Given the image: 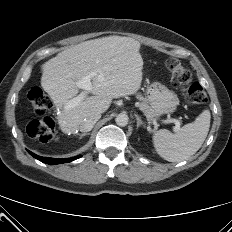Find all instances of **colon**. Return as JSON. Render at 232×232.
Instances as JSON below:
<instances>
[{
  "instance_id": "colon-1",
  "label": "colon",
  "mask_w": 232,
  "mask_h": 232,
  "mask_svg": "<svg viewBox=\"0 0 232 232\" xmlns=\"http://www.w3.org/2000/svg\"><path fill=\"white\" fill-rule=\"evenodd\" d=\"M166 67L172 84L185 91L189 103L204 104L207 102L205 90L198 82L192 81L190 70L181 61L175 58L168 59ZM28 99L37 114H43L52 107L51 99L40 87H32L28 92ZM26 133L29 137L46 143L53 139L55 125L50 118L35 119L27 124Z\"/></svg>"
}]
</instances>
